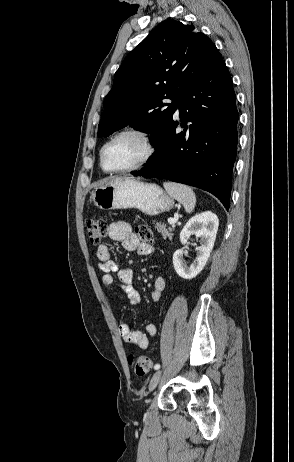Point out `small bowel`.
Returning a JSON list of instances; mask_svg holds the SVG:
<instances>
[{"label": "small bowel", "mask_w": 294, "mask_h": 462, "mask_svg": "<svg viewBox=\"0 0 294 462\" xmlns=\"http://www.w3.org/2000/svg\"><path fill=\"white\" fill-rule=\"evenodd\" d=\"M108 235L110 239L118 241L127 251H136L139 255L147 256L153 252L150 244L141 242L132 231L130 224L125 221L113 222L109 225ZM99 268L103 272L101 282L104 287L111 288L116 282L125 293L130 305L140 302V295L134 287V272L131 268H120L111 259L110 249L102 244L97 249ZM166 287L165 278L158 276L154 279L150 297L153 302H159ZM118 331L124 343L141 349L149 346V337L157 333V327L153 323L146 324L141 330H133L128 323H120Z\"/></svg>", "instance_id": "c3829d8e"}]
</instances>
